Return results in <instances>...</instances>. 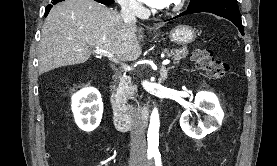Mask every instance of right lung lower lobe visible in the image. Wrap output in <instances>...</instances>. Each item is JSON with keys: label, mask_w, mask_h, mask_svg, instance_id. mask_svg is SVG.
<instances>
[{"label": "right lung lower lobe", "mask_w": 277, "mask_h": 166, "mask_svg": "<svg viewBox=\"0 0 277 166\" xmlns=\"http://www.w3.org/2000/svg\"><path fill=\"white\" fill-rule=\"evenodd\" d=\"M61 1H64V0H51V3L52 4H49L47 7H46V10H45V16L48 15V12L50 11V9L53 7V5L57 4L58 2H61ZM97 2H100L102 4H105V5H109V4H112L114 2V0H95Z\"/></svg>", "instance_id": "98d812e1"}]
</instances>
